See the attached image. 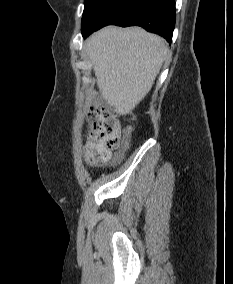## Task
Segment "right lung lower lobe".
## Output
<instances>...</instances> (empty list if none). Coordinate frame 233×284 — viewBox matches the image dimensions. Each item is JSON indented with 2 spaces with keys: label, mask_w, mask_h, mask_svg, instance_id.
<instances>
[{
  "label": "right lung lower lobe",
  "mask_w": 233,
  "mask_h": 284,
  "mask_svg": "<svg viewBox=\"0 0 233 284\" xmlns=\"http://www.w3.org/2000/svg\"><path fill=\"white\" fill-rule=\"evenodd\" d=\"M141 26L145 30L163 36L169 43L175 26V0H111L82 29L87 37L92 32L106 26Z\"/></svg>",
  "instance_id": "obj_1"
}]
</instances>
